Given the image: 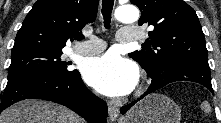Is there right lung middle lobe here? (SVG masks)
<instances>
[{
  "label": "right lung middle lobe",
  "mask_w": 221,
  "mask_h": 123,
  "mask_svg": "<svg viewBox=\"0 0 221 123\" xmlns=\"http://www.w3.org/2000/svg\"><path fill=\"white\" fill-rule=\"evenodd\" d=\"M62 50L29 49L12 52L8 79L29 73H40L50 77H64L77 70L67 69L69 63L62 61Z\"/></svg>",
  "instance_id": "dd1d6c3e"
}]
</instances>
